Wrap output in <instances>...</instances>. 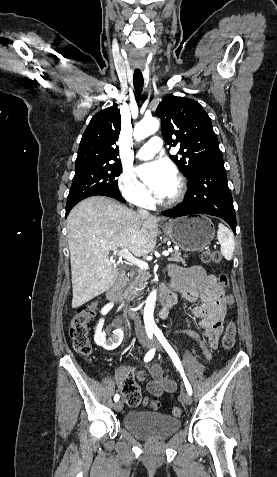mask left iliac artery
Listing matches in <instances>:
<instances>
[{"mask_svg": "<svg viewBox=\"0 0 277 477\" xmlns=\"http://www.w3.org/2000/svg\"><path fill=\"white\" fill-rule=\"evenodd\" d=\"M154 334L156 335V337L158 338V340L160 341V343L162 344V346L165 348V350L167 351V353L169 354V356L171 357L174 365L177 367V369L179 370L180 374L182 375L183 377V380H184V383H185V387H186V390L187 392L191 395L192 394V388H191V385L189 383V381L187 380L186 376H185V373H184V370L182 368V365H181V362L176 354V352L174 351V349L171 347V345L168 343V341L166 340V338L164 337L163 333L161 332V330L159 328H155L153 330Z\"/></svg>", "mask_w": 277, "mask_h": 477, "instance_id": "left-iliac-artery-1", "label": "left iliac artery"}]
</instances>
